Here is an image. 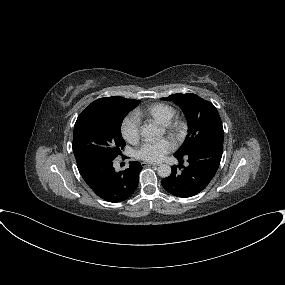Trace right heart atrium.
<instances>
[{
	"label": "right heart atrium",
	"mask_w": 285,
	"mask_h": 285,
	"mask_svg": "<svg viewBox=\"0 0 285 285\" xmlns=\"http://www.w3.org/2000/svg\"><path fill=\"white\" fill-rule=\"evenodd\" d=\"M122 137L129 143H136L140 138V120L133 114H127L120 125Z\"/></svg>",
	"instance_id": "1"
}]
</instances>
